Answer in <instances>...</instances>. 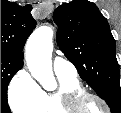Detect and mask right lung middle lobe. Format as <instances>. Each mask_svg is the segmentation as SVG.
<instances>
[{
	"instance_id": "dd1d6c3e",
	"label": "right lung middle lobe",
	"mask_w": 121,
	"mask_h": 113,
	"mask_svg": "<svg viewBox=\"0 0 121 113\" xmlns=\"http://www.w3.org/2000/svg\"><path fill=\"white\" fill-rule=\"evenodd\" d=\"M22 66L21 61L1 55V113H11L7 104V88L11 78Z\"/></svg>"
}]
</instances>
